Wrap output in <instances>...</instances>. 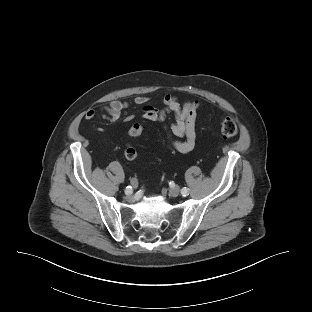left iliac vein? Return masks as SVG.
Returning <instances> with one entry per match:
<instances>
[{
    "label": "left iliac vein",
    "instance_id": "left-iliac-vein-1",
    "mask_svg": "<svg viewBox=\"0 0 312 312\" xmlns=\"http://www.w3.org/2000/svg\"><path fill=\"white\" fill-rule=\"evenodd\" d=\"M179 193H180V189H179L177 186L171 187V188L169 189V194H170V196H172V197H177V196L179 195Z\"/></svg>",
    "mask_w": 312,
    "mask_h": 312
}]
</instances>
